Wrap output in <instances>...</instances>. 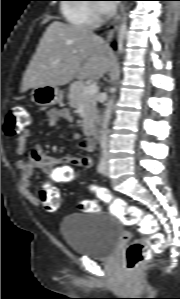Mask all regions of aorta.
<instances>
[{
	"instance_id": "aorta-1",
	"label": "aorta",
	"mask_w": 180,
	"mask_h": 299,
	"mask_svg": "<svg viewBox=\"0 0 180 299\" xmlns=\"http://www.w3.org/2000/svg\"><path fill=\"white\" fill-rule=\"evenodd\" d=\"M127 13H124L121 24L118 28V38H117V43H118V53L121 54L123 51V45L124 41L126 38V32H127ZM115 91V88L113 89V92ZM113 104H114V95L108 100L106 104V110L104 114V123L103 126L106 129L108 121L110 119V116L112 114L113 110Z\"/></svg>"
}]
</instances>
